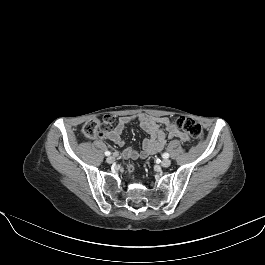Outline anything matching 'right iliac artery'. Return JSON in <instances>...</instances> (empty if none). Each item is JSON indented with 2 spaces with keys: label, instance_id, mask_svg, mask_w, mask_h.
Instances as JSON below:
<instances>
[{
  "label": "right iliac artery",
  "instance_id": "1",
  "mask_svg": "<svg viewBox=\"0 0 265 265\" xmlns=\"http://www.w3.org/2000/svg\"><path fill=\"white\" fill-rule=\"evenodd\" d=\"M110 154H111V153H110L109 151H106V152H105V155H106V156H109Z\"/></svg>",
  "mask_w": 265,
  "mask_h": 265
}]
</instances>
